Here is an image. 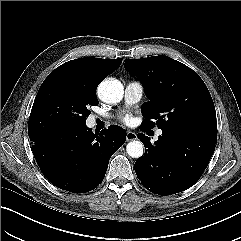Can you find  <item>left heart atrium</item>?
Instances as JSON below:
<instances>
[{
  "mask_svg": "<svg viewBox=\"0 0 241 241\" xmlns=\"http://www.w3.org/2000/svg\"><path fill=\"white\" fill-rule=\"evenodd\" d=\"M122 120H123V122L126 123V124L131 123V118H130L129 116H125V117H123Z\"/></svg>",
  "mask_w": 241,
  "mask_h": 241,
  "instance_id": "obj_1",
  "label": "left heart atrium"
}]
</instances>
